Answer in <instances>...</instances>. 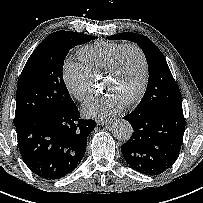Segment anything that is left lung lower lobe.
<instances>
[{
  "mask_svg": "<svg viewBox=\"0 0 203 203\" xmlns=\"http://www.w3.org/2000/svg\"><path fill=\"white\" fill-rule=\"evenodd\" d=\"M124 118L134 130L121 147L131 168L145 175H159L175 163L185 131L182 108L135 109Z\"/></svg>",
  "mask_w": 203,
  "mask_h": 203,
  "instance_id": "obj_1",
  "label": "left lung lower lobe"
}]
</instances>
